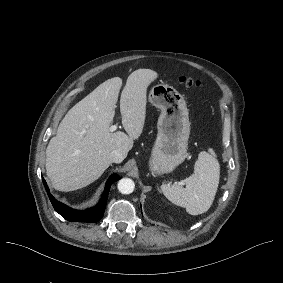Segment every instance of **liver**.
I'll use <instances>...</instances> for the list:
<instances>
[{
    "instance_id": "obj_1",
    "label": "liver",
    "mask_w": 283,
    "mask_h": 283,
    "mask_svg": "<svg viewBox=\"0 0 283 283\" xmlns=\"http://www.w3.org/2000/svg\"><path fill=\"white\" fill-rule=\"evenodd\" d=\"M154 77L153 71L139 69L127 79L120 97L121 120L127 133L109 132L122 86L119 77L101 83L66 113L46 149V174L53 189L85 187L109 167L113 150L127 156L142 132L145 88Z\"/></svg>"
}]
</instances>
